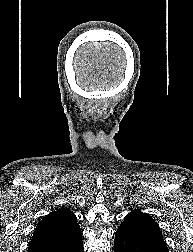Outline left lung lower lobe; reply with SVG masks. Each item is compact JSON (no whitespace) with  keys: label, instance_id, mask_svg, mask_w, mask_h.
Instances as JSON below:
<instances>
[{"label":"left lung lower lobe","instance_id":"left-lung-lower-lobe-1","mask_svg":"<svg viewBox=\"0 0 193 252\" xmlns=\"http://www.w3.org/2000/svg\"><path fill=\"white\" fill-rule=\"evenodd\" d=\"M115 252H169L162 234L156 231L118 228L114 240Z\"/></svg>","mask_w":193,"mask_h":252}]
</instances>
